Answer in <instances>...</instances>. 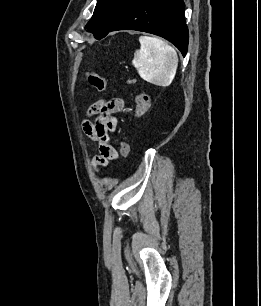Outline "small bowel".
I'll use <instances>...</instances> for the list:
<instances>
[{
	"instance_id": "c3829d8e",
	"label": "small bowel",
	"mask_w": 261,
	"mask_h": 306,
	"mask_svg": "<svg viewBox=\"0 0 261 306\" xmlns=\"http://www.w3.org/2000/svg\"><path fill=\"white\" fill-rule=\"evenodd\" d=\"M125 102L121 98L101 101L92 105L89 115H94V121L83 123L84 133L97 143L99 154L94 159V166L107 165L109 161L118 157L116 149L109 143L108 132L114 131L118 121L114 114L123 110Z\"/></svg>"
}]
</instances>
